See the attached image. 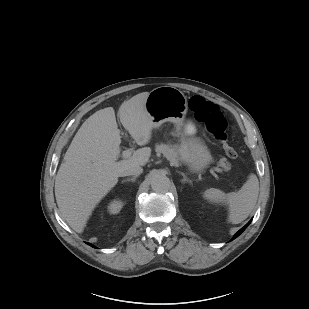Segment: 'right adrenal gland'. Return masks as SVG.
I'll use <instances>...</instances> for the list:
<instances>
[{"label": "right adrenal gland", "mask_w": 309, "mask_h": 309, "mask_svg": "<svg viewBox=\"0 0 309 309\" xmlns=\"http://www.w3.org/2000/svg\"><path fill=\"white\" fill-rule=\"evenodd\" d=\"M137 177H138V176H133L132 178L124 179V180H122V183H124V182H129V181L135 182V180H136Z\"/></svg>", "instance_id": "1"}]
</instances>
